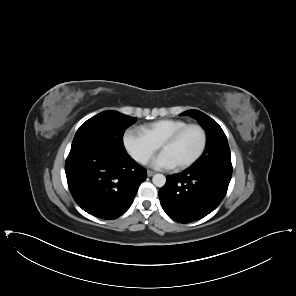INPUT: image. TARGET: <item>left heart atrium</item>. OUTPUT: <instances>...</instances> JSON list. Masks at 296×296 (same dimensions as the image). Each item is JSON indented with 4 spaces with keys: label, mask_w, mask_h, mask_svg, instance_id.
<instances>
[{
    "label": "left heart atrium",
    "mask_w": 296,
    "mask_h": 296,
    "mask_svg": "<svg viewBox=\"0 0 296 296\" xmlns=\"http://www.w3.org/2000/svg\"><path fill=\"white\" fill-rule=\"evenodd\" d=\"M151 165L157 169H169L175 166V163L163 152L153 159Z\"/></svg>",
    "instance_id": "1"
}]
</instances>
